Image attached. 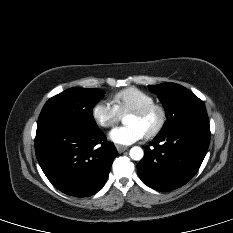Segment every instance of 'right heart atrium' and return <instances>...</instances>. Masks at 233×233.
Here are the masks:
<instances>
[{
  "mask_svg": "<svg viewBox=\"0 0 233 233\" xmlns=\"http://www.w3.org/2000/svg\"><path fill=\"white\" fill-rule=\"evenodd\" d=\"M91 114L95 123L103 128L113 127L121 117L116 107L104 100L97 102L93 106Z\"/></svg>",
  "mask_w": 233,
  "mask_h": 233,
  "instance_id": "1",
  "label": "right heart atrium"
}]
</instances>
